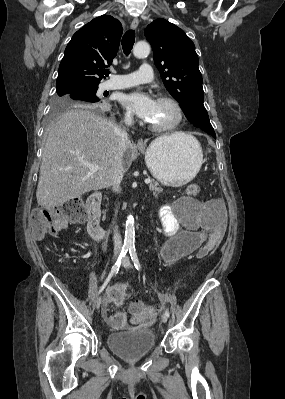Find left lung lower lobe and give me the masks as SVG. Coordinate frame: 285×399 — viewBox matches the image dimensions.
<instances>
[{"label": "left lung lower lobe", "mask_w": 285, "mask_h": 399, "mask_svg": "<svg viewBox=\"0 0 285 399\" xmlns=\"http://www.w3.org/2000/svg\"><path fill=\"white\" fill-rule=\"evenodd\" d=\"M214 138H216V135L214 134V135H212Z\"/></svg>", "instance_id": "1"}]
</instances>
